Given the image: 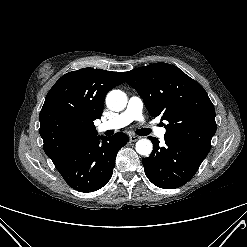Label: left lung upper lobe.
<instances>
[{"label": "left lung upper lobe", "mask_w": 247, "mask_h": 247, "mask_svg": "<svg viewBox=\"0 0 247 247\" xmlns=\"http://www.w3.org/2000/svg\"><path fill=\"white\" fill-rule=\"evenodd\" d=\"M153 117L162 116L165 139L210 151L215 109L204 88L178 67L155 63L122 73Z\"/></svg>", "instance_id": "1"}]
</instances>
